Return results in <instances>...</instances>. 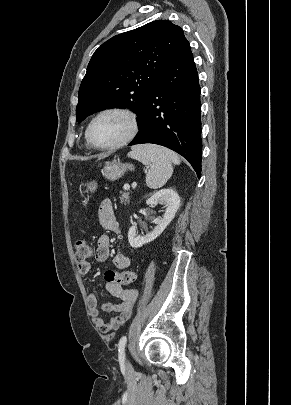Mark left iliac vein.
Wrapping results in <instances>:
<instances>
[{
  "label": "left iliac vein",
  "mask_w": 291,
  "mask_h": 405,
  "mask_svg": "<svg viewBox=\"0 0 291 405\" xmlns=\"http://www.w3.org/2000/svg\"><path fill=\"white\" fill-rule=\"evenodd\" d=\"M127 368H131V365H130V363H129V362L127 363Z\"/></svg>",
  "instance_id": "obj_1"
}]
</instances>
